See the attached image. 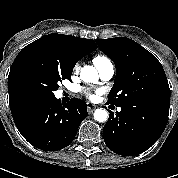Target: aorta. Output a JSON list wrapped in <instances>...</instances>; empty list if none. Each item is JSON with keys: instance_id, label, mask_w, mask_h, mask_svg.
I'll use <instances>...</instances> for the list:
<instances>
[{"instance_id": "762f6f07", "label": "aorta", "mask_w": 178, "mask_h": 178, "mask_svg": "<svg viewBox=\"0 0 178 178\" xmlns=\"http://www.w3.org/2000/svg\"><path fill=\"white\" fill-rule=\"evenodd\" d=\"M80 77L84 82H95L98 79V74L96 69L93 66H84L81 69L80 72ZM108 112L107 110L100 108V109H96L94 112V119L98 122H106L108 120Z\"/></svg>"}]
</instances>
